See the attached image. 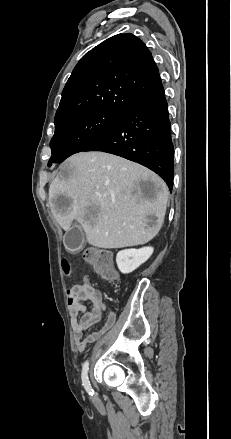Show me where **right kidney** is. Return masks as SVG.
Here are the masks:
<instances>
[{
  "mask_svg": "<svg viewBox=\"0 0 231 439\" xmlns=\"http://www.w3.org/2000/svg\"><path fill=\"white\" fill-rule=\"evenodd\" d=\"M153 250L152 247H143L119 251L116 257L119 270L124 274L133 272L150 258Z\"/></svg>",
  "mask_w": 231,
  "mask_h": 439,
  "instance_id": "ca27d5eb",
  "label": "right kidney"
}]
</instances>
